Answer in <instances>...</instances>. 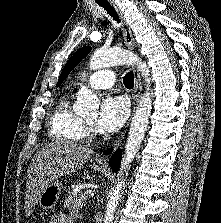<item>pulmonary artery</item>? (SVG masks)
Segmentation results:
<instances>
[{"instance_id":"obj_1","label":"pulmonary artery","mask_w":221,"mask_h":223,"mask_svg":"<svg viewBox=\"0 0 221 223\" xmlns=\"http://www.w3.org/2000/svg\"><path fill=\"white\" fill-rule=\"evenodd\" d=\"M116 73L111 70H99L93 73L87 80L86 84L94 89H106L114 85Z\"/></svg>"}]
</instances>
